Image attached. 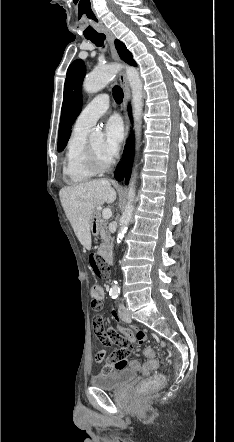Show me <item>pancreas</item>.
I'll use <instances>...</instances> for the list:
<instances>
[{"label": "pancreas", "mask_w": 234, "mask_h": 442, "mask_svg": "<svg viewBox=\"0 0 234 442\" xmlns=\"http://www.w3.org/2000/svg\"><path fill=\"white\" fill-rule=\"evenodd\" d=\"M99 224H100V236H101V239H102V242H103L101 246L102 247H106V246L109 245L110 239H111L110 233L107 230V221L106 220H100Z\"/></svg>", "instance_id": "cf45deb5"}]
</instances>
